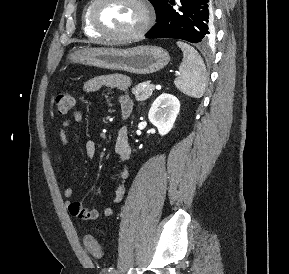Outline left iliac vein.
Here are the masks:
<instances>
[{"instance_id": "left-iliac-vein-1", "label": "left iliac vein", "mask_w": 289, "mask_h": 274, "mask_svg": "<svg viewBox=\"0 0 289 274\" xmlns=\"http://www.w3.org/2000/svg\"><path fill=\"white\" fill-rule=\"evenodd\" d=\"M110 274H119V271L118 270H116V269H114V270H112L111 271V273Z\"/></svg>"}]
</instances>
